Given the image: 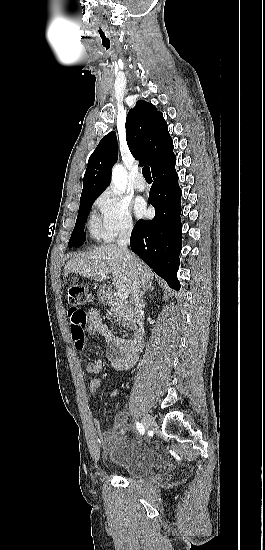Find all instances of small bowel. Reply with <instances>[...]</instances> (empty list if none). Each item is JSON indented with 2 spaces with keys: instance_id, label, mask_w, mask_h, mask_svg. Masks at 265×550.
Instances as JSON below:
<instances>
[{
  "instance_id": "1",
  "label": "small bowel",
  "mask_w": 265,
  "mask_h": 550,
  "mask_svg": "<svg viewBox=\"0 0 265 550\" xmlns=\"http://www.w3.org/2000/svg\"><path fill=\"white\" fill-rule=\"evenodd\" d=\"M86 314V322L83 327L81 337L76 338V348L81 349L84 344V331L87 330L106 343L113 347L110 353V363L120 371L131 369L137 362L139 353L131 348L127 339L114 336L110 329L102 322L97 309H91ZM86 371L91 374H98L103 370V361L96 360L87 362L85 365ZM101 387V381L94 378L89 383V392L94 394ZM114 422L119 427V432L124 431L127 427L125 415L118 411L114 415ZM117 436V432H102L99 431V438L103 447L110 446L112 440Z\"/></svg>"
}]
</instances>
